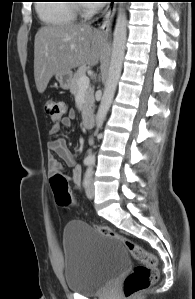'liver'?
Returning a JSON list of instances; mask_svg holds the SVG:
<instances>
[{
  "mask_svg": "<svg viewBox=\"0 0 195 299\" xmlns=\"http://www.w3.org/2000/svg\"><path fill=\"white\" fill-rule=\"evenodd\" d=\"M107 47L104 35L89 25L65 23L41 27L34 42V78L38 92L46 90L53 75L82 65H96Z\"/></svg>",
  "mask_w": 195,
  "mask_h": 299,
  "instance_id": "6515ba94",
  "label": "liver"
}]
</instances>
